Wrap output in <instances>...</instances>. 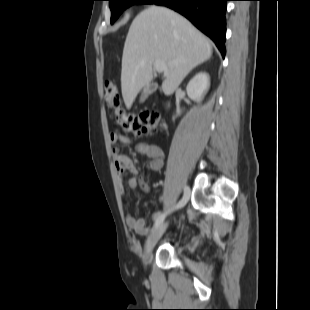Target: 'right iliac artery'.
<instances>
[{
	"mask_svg": "<svg viewBox=\"0 0 310 310\" xmlns=\"http://www.w3.org/2000/svg\"><path fill=\"white\" fill-rule=\"evenodd\" d=\"M189 196H190V188L188 186H185L184 187V195H183L182 199L176 204V206L173 209H179V208L183 207L187 203V201L189 199ZM170 211L171 210H169L166 213H161L159 215V217L157 218V220L154 223L153 230L157 229L162 224V222L164 221L166 215Z\"/></svg>",
	"mask_w": 310,
	"mask_h": 310,
	"instance_id": "obj_1",
	"label": "right iliac artery"
}]
</instances>
